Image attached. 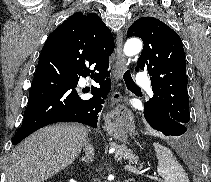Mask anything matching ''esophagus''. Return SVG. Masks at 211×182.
<instances>
[{
	"label": "esophagus",
	"instance_id": "34e87169",
	"mask_svg": "<svg viewBox=\"0 0 211 182\" xmlns=\"http://www.w3.org/2000/svg\"><path fill=\"white\" fill-rule=\"evenodd\" d=\"M116 43H117V49H116L117 58H116V64H115L113 76H114L115 81H118L119 79H121L127 66L126 58L124 57L123 52H122L123 35L121 32L117 34ZM121 99H122L121 93L119 92L112 93L111 102L113 104L120 102Z\"/></svg>",
	"mask_w": 211,
	"mask_h": 182
}]
</instances>
